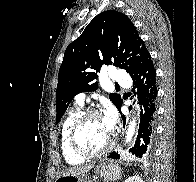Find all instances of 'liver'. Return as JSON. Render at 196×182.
<instances>
[{
  "label": "liver",
  "instance_id": "liver-1",
  "mask_svg": "<svg viewBox=\"0 0 196 182\" xmlns=\"http://www.w3.org/2000/svg\"><path fill=\"white\" fill-rule=\"evenodd\" d=\"M94 167V164H89L86 166H79V167H72L70 169H67L62 176H66V175H85L87 172L90 171V169H92Z\"/></svg>",
  "mask_w": 196,
  "mask_h": 182
}]
</instances>
